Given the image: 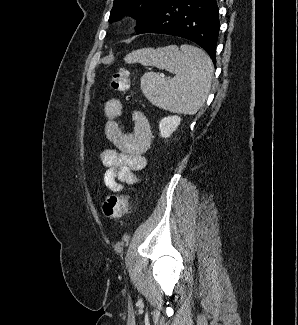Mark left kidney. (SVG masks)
<instances>
[{
    "mask_svg": "<svg viewBox=\"0 0 298 325\" xmlns=\"http://www.w3.org/2000/svg\"><path fill=\"white\" fill-rule=\"evenodd\" d=\"M181 120V116H177V114H171V116L161 118L159 122L160 136H163V138L171 136L172 132L179 126Z\"/></svg>",
    "mask_w": 298,
    "mask_h": 325,
    "instance_id": "1",
    "label": "left kidney"
}]
</instances>
